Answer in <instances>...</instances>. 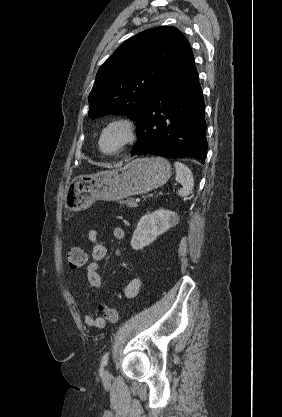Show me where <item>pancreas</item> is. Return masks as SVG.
<instances>
[{
    "label": "pancreas",
    "instance_id": "cf45deb5",
    "mask_svg": "<svg viewBox=\"0 0 282 417\" xmlns=\"http://www.w3.org/2000/svg\"><path fill=\"white\" fill-rule=\"evenodd\" d=\"M120 204H127V206H137V202H135L134 198L130 196V198H127V200H119Z\"/></svg>",
    "mask_w": 282,
    "mask_h": 417
}]
</instances>
